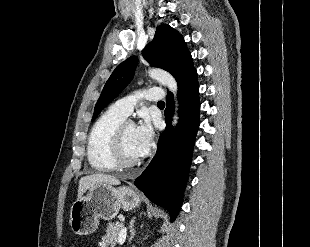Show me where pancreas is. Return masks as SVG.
Returning <instances> with one entry per match:
<instances>
[{"instance_id": "obj_1", "label": "pancreas", "mask_w": 310, "mask_h": 247, "mask_svg": "<svg viewBox=\"0 0 310 247\" xmlns=\"http://www.w3.org/2000/svg\"><path fill=\"white\" fill-rule=\"evenodd\" d=\"M123 229V224L109 223L107 226L106 234L102 237V247H115L118 242L120 231Z\"/></svg>"}]
</instances>
